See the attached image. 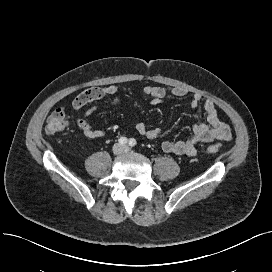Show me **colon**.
I'll return each instance as SVG.
<instances>
[{
    "label": "colon",
    "instance_id": "1",
    "mask_svg": "<svg viewBox=\"0 0 272 272\" xmlns=\"http://www.w3.org/2000/svg\"><path fill=\"white\" fill-rule=\"evenodd\" d=\"M67 126L66 111L65 108L55 110L47 119L46 132L49 135L57 134L63 131ZM218 151L216 145H209L203 148V152L206 154H214Z\"/></svg>",
    "mask_w": 272,
    "mask_h": 272
}]
</instances>
